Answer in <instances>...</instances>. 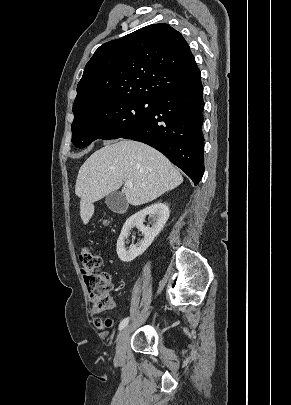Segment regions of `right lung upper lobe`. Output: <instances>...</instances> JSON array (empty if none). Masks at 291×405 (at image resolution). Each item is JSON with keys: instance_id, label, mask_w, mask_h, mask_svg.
<instances>
[{"instance_id": "right-lung-upper-lobe-1", "label": "right lung upper lobe", "mask_w": 291, "mask_h": 405, "mask_svg": "<svg viewBox=\"0 0 291 405\" xmlns=\"http://www.w3.org/2000/svg\"><path fill=\"white\" fill-rule=\"evenodd\" d=\"M200 75L183 36L168 24H152L100 46L77 86L73 112L122 97L154 99Z\"/></svg>"}]
</instances>
